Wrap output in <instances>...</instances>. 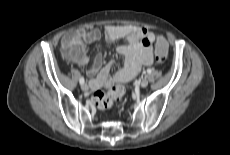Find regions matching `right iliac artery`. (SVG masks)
Listing matches in <instances>:
<instances>
[{
	"mask_svg": "<svg viewBox=\"0 0 230 155\" xmlns=\"http://www.w3.org/2000/svg\"><path fill=\"white\" fill-rule=\"evenodd\" d=\"M80 84L82 85L84 83V78L81 77L80 80H79Z\"/></svg>",
	"mask_w": 230,
	"mask_h": 155,
	"instance_id": "right-iliac-artery-1",
	"label": "right iliac artery"
}]
</instances>
